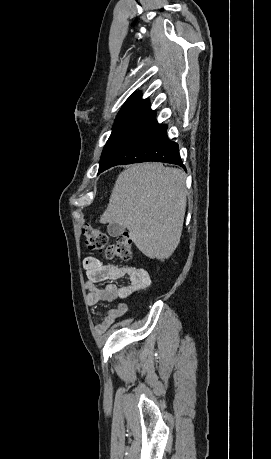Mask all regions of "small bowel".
<instances>
[{
  "instance_id": "obj_1",
  "label": "small bowel",
  "mask_w": 271,
  "mask_h": 459,
  "mask_svg": "<svg viewBox=\"0 0 271 459\" xmlns=\"http://www.w3.org/2000/svg\"><path fill=\"white\" fill-rule=\"evenodd\" d=\"M83 268L88 278L86 288L88 290L87 303L89 305H96L101 301L125 299L145 289L150 284V276L144 269L133 266L104 264L92 256L84 259ZM124 278L129 281L125 286H118L113 282H109L102 288L97 287L98 283ZM126 312V304H118L116 308L107 312L104 319L96 326V331L98 333L107 331Z\"/></svg>"
}]
</instances>
